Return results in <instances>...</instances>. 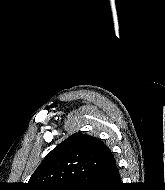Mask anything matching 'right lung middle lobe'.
Masks as SVG:
<instances>
[{"instance_id": "obj_1", "label": "right lung middle lobe", "mask_w": 165, "mask_h": 190, "mask_svg": "<svg viewBox=\"0 0 165 190\" xmlns=\"http://www.w3.org/2000/svg\"><path fill=\"white\" fill-rule=\"evenodd\" d=\"M80 186L81 182L79 181L71 184H64L53 188H49V190H79Z\"/></svg>"}]
</instances>
